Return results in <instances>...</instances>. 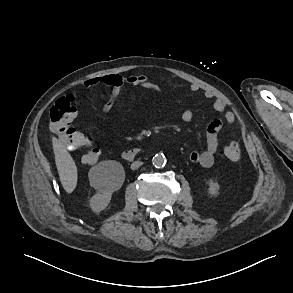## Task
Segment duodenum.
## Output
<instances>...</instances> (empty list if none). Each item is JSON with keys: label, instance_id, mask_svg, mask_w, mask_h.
Listing matches in <instances>:
<instances>
[{"label": "duodenum", "instance_id": "410a0bca", "mask_svg": "<svg viewBox=\"0 0 293 293\" xmlns=\"http://www.w3.org/2000/svg\"><path fill=\"white\" fill-rule=\"evenodd\" d=\"M138 154H139V149L137 148L127 149L122 152V158L126 161H132L137 157Z\"/></svg>", "mask_w": 293, "mask_h": 293}]
</instances>
